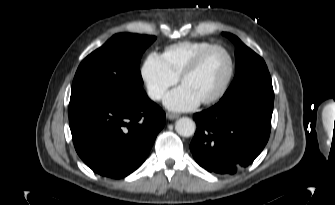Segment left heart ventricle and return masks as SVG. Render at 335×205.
<instances>
[{
    "label": "left heart ventricle",
    "mask_w": 335,
    "mask_h": 205,
    "mask_svg": "<svg viewBox=\"0 0 335 205\" xmlns=\"http://www.w3.org/2000/svg\"><path fill=\"white\" fill-rule=\"evenodd\" d=\"M229 59L221 50H213L200 68L188 76L185 85L200 101L214 95L222 86L229 72Z\"/></svg>",
    "instance_id": "b2bd125f"
}]
</instances>
